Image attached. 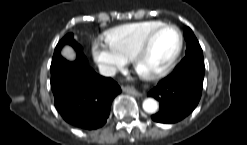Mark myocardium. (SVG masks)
Here are the masks:
<instances>
[{
  "mask_svg": "<svg viewBox=\"0 0 247 145\" xmlns=\"http://www.w3.org/2000/svg\"><path fill=\"white\" fill-rule=\"evenodd\" d=\"M166 28H173L174 30H176L177 34H178V38H179V43H178V47L177 50L175 52V54L173 55V57L171 58V60L162 68L155 70L153 72L147 73V74H141L143 75L145 78L150 79V80H155L157 78H160L164 75H166L177 63L182 50H183V46H184V37L183 34L181 32V30L179 29V27H177L174 24H169V23H163L162 25L156 27L155 29H153L150 33H148V35L143 39V41L141 42V44L137 47V49L134 51V53L132 54L130 60H131V64L133 65V67L137 70V66L139 63V60L141 59V57L147 52V50L149 49L153 39L155 38V36L162 30L166 29ZM138 71V70H137Z\"/></svg>",
  "mask_w": 247,
  "mask_h": 145,
  "instance_id": "obj_1",
  "label": "myocardium"
}]
</instances>
